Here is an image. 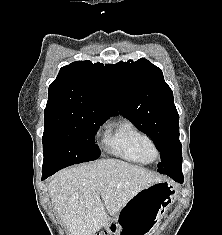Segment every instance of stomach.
Listing matches in <instances>:
<instances>
[{
	"label": "stomach",
	"instance_id": "1",
	"mask_svg": "<svg viewBox=\"0 0 222 235\" xmlns=\"http://www.w3.org/2000/svg\"><path fill=\"white\" fill-rule=\"evenodd\" d=\"M176 197V188L170 182L144 188L110 220L104 235H149Z\"/></svg>",
	"mask_w": 222,
	"mask_h": 235
}]
</instances>
